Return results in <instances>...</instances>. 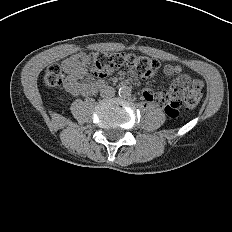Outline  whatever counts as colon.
Returning <instances> with one entry per match:
<instances>
[{
	"mask_svg": "<svg viewBox=\"0 0 232 232\" xmlns=\"http://www.w3.org/2000/svg\"><path fill=\"white\" fill-rule=\"evenodd\" d=\"M78 65H88L91 75L104 77L114 71L128 67L136 70L139 74L149 76L157 73L161 67L158 60L147 56H136L123 53L95 52L89 57H77ZM64 65L54 64L48 67L44 75V84L47 87H60L65 81ZM201 89L192 86L189 78H178L171 86L169 93L156 95L155 102L164 108L165 113L176 118L181 114L182 108L193 109L199 103Z\"/></svg>",
	"mask_w": 232,
	"mask_h": 232,
	"instance_id": "obj_1",
	"label": "colon"
}]
</instances>
